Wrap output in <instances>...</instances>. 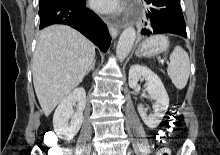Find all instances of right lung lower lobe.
I'll return each instance as SVG.
<instances>
[{
  "instance_id": "98d812e1",
  "label": "right lung lower lobe",
  "mask_w": 220,
  "mask_h": 155,
  "mask_svg": "<svg viewBox=\"0 0 220 155\" xmlns=\"http://www.w3.org/2000/svg\"><path fill=\"white\" fill-rule=\"evenodd\" d=\"M39 16V29L52 24H66L81 32L102 51L109 48L111 37L107 26L86 8V0H58L40 7Z\"/></svg>"
}]
</instances>
